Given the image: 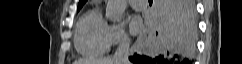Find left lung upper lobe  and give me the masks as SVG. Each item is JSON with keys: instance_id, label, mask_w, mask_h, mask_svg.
I'll list each match as a JSON object with an SVG mask.
<instances>
[{"instance_id": "5c2ea615", "label": "left lung upper lobe", "mask_w": 242, "mask_h": 64, "mask_svg": "<svg viewBox=\"0 0 242 64\" xmlns=\"http://www.w3.org/2000/svg\"><path fill=\"white\" fill-rule=\"evenodd\" d=\"M86 1H87V0H80V1H79L78 9H77L78 11H79V9H80V8L86 3Z\"/></svg>"}]
</instances>
